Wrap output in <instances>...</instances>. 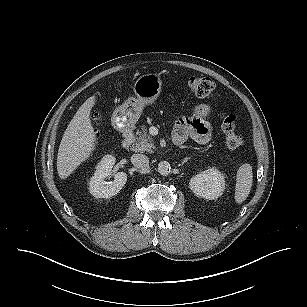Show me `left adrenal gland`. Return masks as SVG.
I'll return each mask as SVG.
<instances>
[{
	"mask_svg": "<svg viewBox=\"0 0 307 307\" xmlns=\"http://www.w3.org/2000/svg\"><path fill=\"white\" fill-rule=\"evenodd\" d=\"M188 159H189V158H186V159L183 161L182 165H183L184 163H186V162L188 161Z\"/></svg>",
	"mask_w": 307,
	"mask_h": 307,
	"instance_id": "a2214340",
	"label": "left adrenal gland"
}]
</instances>
